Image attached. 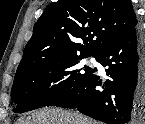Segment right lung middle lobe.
Listing matches in <instances>:
<instances>
[{
  "instance_id": "right-lung-middle-lobe-1",
  "label": "right lung middle lobe",
  "mask_w": 145,
  "mask_h": 124,
  "mask_svg": "<svg viewBox=\"0 0 145 124\" xmlns=\"http://www.w3.org/2000/svg\"><path fill=\"white\" fill-rule=\"evenodd\" d=\"M96 55H73L46 60L15 77L11 98L14 112L23 113L46 106L54 98L68 91L92 72V68H78L79 60Z\"/></svg>"
}]
</instances>
